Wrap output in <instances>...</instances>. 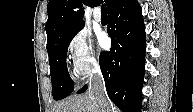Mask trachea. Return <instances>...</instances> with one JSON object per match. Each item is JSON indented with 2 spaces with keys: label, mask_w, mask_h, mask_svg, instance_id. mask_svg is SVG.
I'll return each instance as SVG.
<instances>
[{
  "label": "trachea",
  "mask_w": 193,
  "mask_h": 112,
  "mask_svg": "<svg viewBox=\"0 0 193 112\" xmlns=\"http://www.w3.org/2000/svg\"><path fill=\"white\" fill-rule=\"evenodd\" d=\"M101 12H102V14H107V9H106V5L105 4H103L101 6Z\"/></svg>",
  "instance_id": "1"
}]
</instances>
